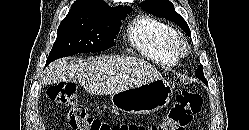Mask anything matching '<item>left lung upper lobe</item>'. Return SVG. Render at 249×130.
<instances>
[{"instance_id":"1","label":"left lung upper lobe","mask_w":249,"mask_h":130,"mask_svg":"<svg viewBox=\"0 0 249 130\" xmlns=\"http://www.w3.org/2000/svg\"><path fill=\"white\" fill-rule=\"evenodd\" d=\"M141 7L154 14L156 16L164 17L170 21H174L185 33L191 36V31L186 23V21L178 14L173 4L168 0H145L141 3ZM196 77H198L206 85L207 80L203 74V66L200 64V67L195 71Z\"/></svg>"}]
</instances>
